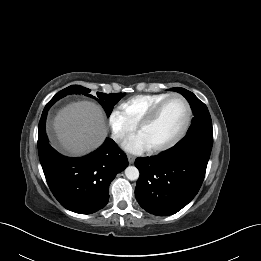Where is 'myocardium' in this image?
Returning a JSON list of instances; mask_svg holds the SVG:
<instances>
[{
  "label": "myocardium",
  "mask_w": 261,
  "mask_h": 261,
  "mask_svg": "<svg viewBox=\"0 0 261 261\" xmlns=\"http://www.w3.org/2000/svg\"><path fill=\"white\" fill-rule=\"evenodd\" d=\"M173 99H179L186 110V117H185V121L184 124L181 128V130L178 132V134L171 139L169 142L159 145V146H154V147H149L148 150L150 152L153 153H157V152H161V151H165L168 150L172 147H174L176 144H178L183 138L184 136L187 134L190 125H191V121H192V109H191V105L188 102V100L181 94L179 93H173L168 95L166 98H164L162 101H160L159 103H157L149 112L148 114L136 125V130L139 133V131L150 125L159 115V113L161 112V110L163 109V107L171 100Z\"/></svg>",
  "instance_id": "f54148a6"
}]
</instances>
